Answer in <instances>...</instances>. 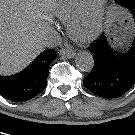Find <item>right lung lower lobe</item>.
<instances>
[{
    "label": "right lung lower lobe",
    "instance_id": "98d812e1",
    "mask_svg": "<svg viewBox=\"0 0 135 135\" xmlns=\"http://www.w3.org/2000/svg\"><path fill=\"white\" fill-rule=\"evenodd\" d=\"M55 58V50L48 49L25 71L13 76H0V95L14 102L37 96L46 86L48 69Z\"/></svg>",
    "mask_w": 135,
    "mask_h": 135
}]
</instances>
